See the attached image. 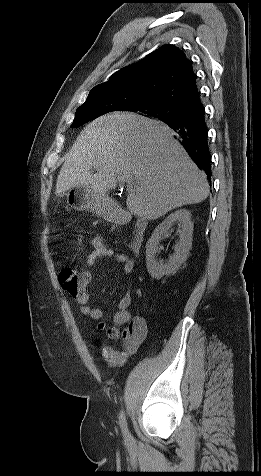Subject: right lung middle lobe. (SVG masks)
I'll return each mask as SVG.
<instances>
[{
    "label": "right lung middle lobe",
    "instance_id": "dd1d6c3e",
    "mask_svg": "<svg viewBox=\"0 0 261 476\" xmlns=\"http://www.w3.org/2000/svg\"><path fill=\"white\" fill-rule=\"evenodd\" d=\"M114 111H121V107L117 103L109 101V99L83 104L77 109L75 119L71 127H78L97 118L100 115ZM182 111V109L169 105L154 104L143 106L141 109L135 112H138L141 115L159 119L164 122L165 120L173 119Z\"/></svg>",
    "mask_w": 261,
    "mask_h": 476
}]
</instances>
